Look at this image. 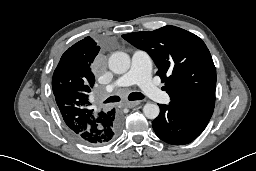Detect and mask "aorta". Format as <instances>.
I'll return each mask as SVG.
<instances>
[{"label":"aorta","instance_id":"aorta-1","mask_svg":"<svg viewBox=\"0 0 256 171\" xmlns=\"http://www.w3.org/2000/svg\"><path fill=\"white\" fill-rule=\"evenodd\" d=\"M109 69L116 74H123L130 68V57L124 52L113 53L108 61ZM160 112L157 104L146 103L143 107V113L148 119H155Z\"/></svg>","mask_w":256,"mask_h":171}]
</instances>
